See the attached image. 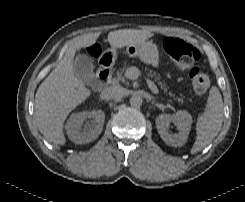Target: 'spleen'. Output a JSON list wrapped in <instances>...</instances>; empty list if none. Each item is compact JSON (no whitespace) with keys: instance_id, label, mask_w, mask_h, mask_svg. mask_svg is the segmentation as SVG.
<instances>
[{"instance_id":"obj_1","label":"spleen","mask_w":245,"mask_h":202,"mask_svg":"<svg viewBox=\"0 0 245 202\" xmlns=\"http://www.w3.org/2000/svg\"><path fill=\"white\" fill-rule=\"evenodd\" d=\"M223 122V101L217 87H212L208 97L206 111L200 115L196 123L197 137L191 149L195 154L205 148L217 136Z\"/></svg>"}]
</instances>
